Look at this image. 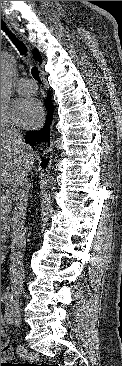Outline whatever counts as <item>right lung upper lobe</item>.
<instances>
[{"label": "right lung upper lobe", "instance_id": "obj_1", "mask_svg": "<svg viewBox=\"0 0 122 366\" xmlns=\"http://www.w3.org/2000/svg\"><path fill=\"white\" fill-rule=\"evenodd\" d=\"M33 56L38 62H42V57L37 49L33 50Z\"/></svg>", "mask_w": 122, "mask_h": 366}]
</instances>
